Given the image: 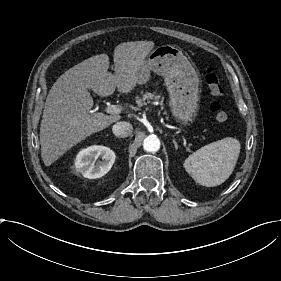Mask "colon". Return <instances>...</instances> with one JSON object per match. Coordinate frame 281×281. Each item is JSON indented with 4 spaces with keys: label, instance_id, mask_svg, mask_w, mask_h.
Masks as SVG:
<instances>
[{
    "label": "colon",
    "instance_id": "obj_1",
    "mask_svg": "<svg viewBox=\"0 0 281 281\" xmlns=\"http://www.w3.org/2000/svg\"><path fill=\"white\" fill-rule=\"evenodd\" d=\"M204 83L213 98L211 113L214 122L218 125H225L229 121L228 112L222 102L224 87L212 66L208 63L202 66Z\"/></svg>",
    "mask_w": 281,
    "mask_h": 281
}]
</instances>
